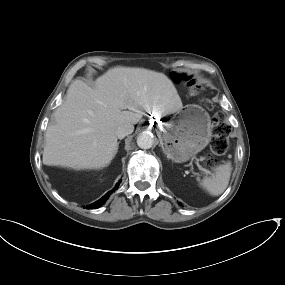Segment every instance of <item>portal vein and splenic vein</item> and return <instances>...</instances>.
Returning <instances> with one entry per match:
<instances>
[{
	"instance_id": "1",
	"label": "portal vein and splenic vein",
	"mask_w": 285,
	"mask_h": 285,
	"mask_svg": "<svg viewBox=\"0 0 285 285\" xmlns=\"http://www.w3.org/2000/svg\"><path fill=\"white\" fill-rule=\"evenodd\" d=\"M196 164H197V166H198V168L200 169V170H202V171H207L206 169H204V168H202L200 165H199V159H196Z\"/></svg>"
}]
</instances>
